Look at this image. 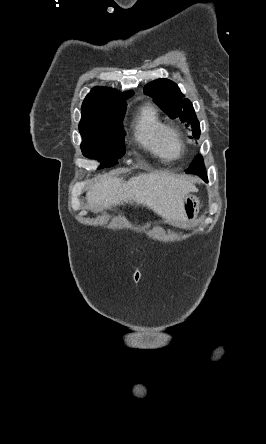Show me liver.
Returning a JSON list of instances; mask_svg holds the SVG:
<instances>
[{"label":"liver","instance_id":"6515ba94","mask_svg":"<svg viewBox=\"0 0 266 444\" xmlns=\"http://www.w3.org/2000/svg\"><path fill=\"white\" fill-rule=\"evenodd\" d=\"M196 190L186 176L173 173L139 174L128 181L114 177L92 185L86 193L89 208L98 212L119 204L147 206L166 222H184L182 204L189 192Z\"/></svg>","mask_w":266,"mask_h":444}]
</instances>
